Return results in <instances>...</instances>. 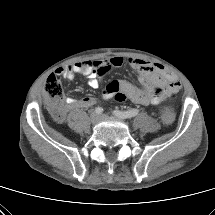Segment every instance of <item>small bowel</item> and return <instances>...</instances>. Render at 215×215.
I'll return each mask as SVG.
<instances>
[{
	"label": "small bowel",
	"mask_w": 215,
	"mask_h": 215,
	"mask_svg": "<svg viewBox=\"0 0 215 215\" xmlns=\"http://www.w3.org/2000/svg\"><path fill=\"white\" fill-rule=\"evenodd\" d=\"M123 63L124 59L120 56L107 60L80 61L57 69L56 75L68 80H72L76 74L85 75L88 77V85L95 89L99 87L104 74L111 67H120ZM128 64L140 74V86L124 80H113L103 91L105 100L114 98L117 101L130 100L140 105H158L165 100L170 91L177 92L180 89L181 85L176 76L161 64L137 58L128 59ZM95 103L96 99L93 97H68L62 114L57 118L61 120L64 114L73 108H87Z\"/></svg>",
	"instance_id": "1"
}]
</instances>
